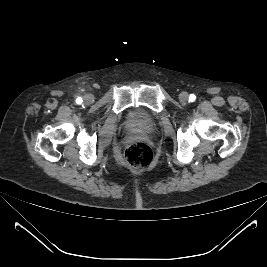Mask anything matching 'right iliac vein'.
Returning a JSON list of instances; mask_svg holds the SVG:
<instances>
[{"instance_id":"obj_1","label":"right iliac vein","mask_w":267,"mask_h":267,"mask_svg":"<svg viewBox=\"0 0 267 267\" xmlns=\"http://www.w3.org/2000/svg\"><path fill=\"white\" fill-rule=\"evenodd\" d=\"M93 96L92 95H85L84 96V102L86 103V104H91L92 102H93Z\"/></svg>"}]
</instances>
